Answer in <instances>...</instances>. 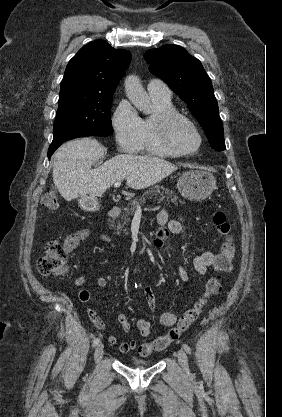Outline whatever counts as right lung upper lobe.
Here are the masks:
<instances>
[{
  "label": "right lung upper lobe",
  "instance_id": "right-lung-upper-lobe-1",
  "mask_svg": "<svg viewBox=\"0 0 282 417\" xmlns=\"http://www.w3.org/2000/svg\"><path fill=\"white\" fill-rule=\"evenodd\" d=\"M130 60V52L115 49L104 40L90 42L69 61L60 93H113Z\"/></svg>",
  "mask_w": 282,
  "mask_h": 417
}]
</instances>
